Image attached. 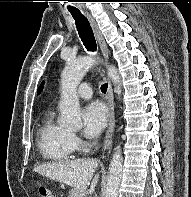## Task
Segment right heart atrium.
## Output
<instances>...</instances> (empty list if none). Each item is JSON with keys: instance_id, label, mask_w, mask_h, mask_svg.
I'll return each instance as SVG.
<instances>
[{"instance_id": "obj_1", "label": "right heart atrium", "mask_w": 191, "mask_h": 197, "mask_svg": "<svg viewBox=\"0 0 191 197\" xmlns=\"http://www.w3.org/2000/svg\"><path fill=\"white\" fill-rule=\"evenodd\" d=\"M69 143L71 147L75 150H81L85 146L83 140L75 133H69Z\"/></svg>"}]
</instances>
